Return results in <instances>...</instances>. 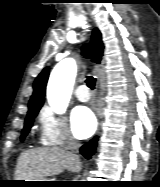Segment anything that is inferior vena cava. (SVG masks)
Listing matches in <instances>:
<instances>
[{"instance_id":"602c4592","label":"inferior vena cava","mask_w":160,"mask_h":187,"mask_svg":"<svg viewBox=\"0 0 160 187\" xmlns=\"http://www.w3.org/2000/svg\"><path fill=\"white\" fill-rule=\"evenodd\" d=\"M78 146H79L78 143L73 138H69V141L67 142L66 145V149L70 150L71 151L70 153L73 154L77 160H79V158L76 154L73 153V151L76 150Z\"/></svg>"}]
</instances>
